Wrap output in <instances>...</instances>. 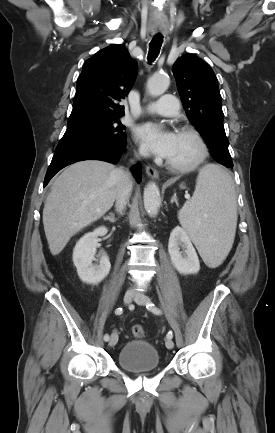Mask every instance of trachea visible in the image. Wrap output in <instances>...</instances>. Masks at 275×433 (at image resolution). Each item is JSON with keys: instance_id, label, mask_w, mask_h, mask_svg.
I'll return each mask as SVG.
<instances>
[{"instance_id": "obj_1", "label": "trachea", "mask_w": 275, "mask_h": 433, "mask_svg": "<svg viewBox=\"0 0 275 433\" xmlns=\"http://www.w3.org/2000/svg\"><path fill=\"white\" fill-rule=\"evenodd\" d=\"M163 43V36H154L149 43L148 61L153 62L159 55L160 48Z\"/></svg>"}]
</instances>
